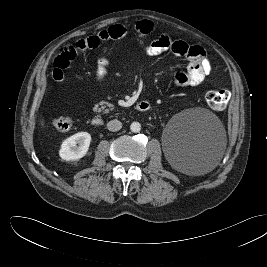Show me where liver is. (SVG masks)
Here are the masks:
<instances>
[{"instance_id": "obj_1", "label": "liver", "mask_w": 267, "mask_h": 267, "mask_svg": "<svg viewBox=\"0 0 267 267\" xmlns=\"http://www.w3.org/2000/svg\"><path fill=\"white\" fill-rule=\"evenodd\" d=\"M41 126L43 127L44 126V120L42 119L41 121Z\"/></svg>"}]
</instances>
